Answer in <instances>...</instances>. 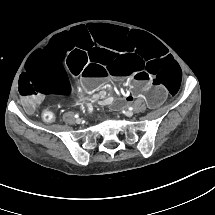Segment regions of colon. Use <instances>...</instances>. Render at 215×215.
<instances>
[{"label": "colon", "instance_id": "1", "mask_svg": "<svg viewBox=\"0 0 215 215\" xmlns=\"http://www.w3.org/2000/svg\"><path fill=\"white\" fill-rule=\"evenodd\" d=\"M42 117H43V120H44L45 122L50 123V122H52L53 119H54V114H53V112H52L51 109L46 108V109L43 111V113H42Z\"/></svg>", "mask_w": 215, "mask_h": 215}]
</instances>
